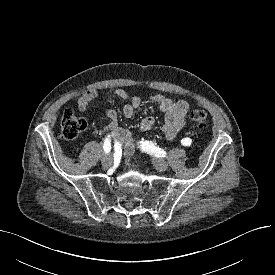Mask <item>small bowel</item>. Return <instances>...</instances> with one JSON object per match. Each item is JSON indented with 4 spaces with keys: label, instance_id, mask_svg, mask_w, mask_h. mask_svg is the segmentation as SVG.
<instances>
[{
    "label": "small bowel",
    "instance_id": "obj_1",
    "mask_svg": "<svg viewBox=\"0 0 275 275\" xmlns=\"http://www.w3.org/2000/svg\"><path fill=\"white\" fill-rule=\"evenodd\" d=\"M113 95L116 97L128 101L123 107V114L125 117H131L134 112L140 107L141 100L136 96H130L124 90L115 89L112 91ZM97 91L95 89H90L84 91L76 96L75 100L77 102L78 108L84 111L87 105L96 98ZM152 100L158 104L161 112L164 113V122L162 124V132L167 139H173L177 133L185 125V117L189 110V105L184 100L173 101L163 95H154ZM106 116L109 120L108 125L105 128L106 134L109 136H114L121 142L125 143L124 153L130 156L134 153L135 144L133 138L129 131L123 129L119 126L118 115L112 110H106ZM156 124L155 119L152 116H147L143 118L140 122V130L146 132L153 128Z\"/></svg>",
    "mask_w": 275,
    "mask_h": 275
}]
</instances>
